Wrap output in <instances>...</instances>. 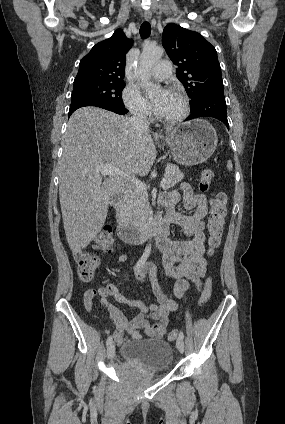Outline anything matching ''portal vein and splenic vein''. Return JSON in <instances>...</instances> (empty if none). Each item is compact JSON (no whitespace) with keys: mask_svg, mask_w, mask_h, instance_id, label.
Instances as JSON below:
<instances>
[{"mask_svg":"<svg viewBox=\"0 0 285 424\" xmlns=\"http://www.w3.org/2000/svg\"><path fill=\"white\" fill-rule=\"evenodd\" d=\"M96 171L100 172L101 175L120 176V177H123V178H127L130 182H132L135 185V187L137 189H141L143 191H146V189H147L145 183H143L142 181H140V180H138L134 177H131V176L125 174L121 169H119L117 167H114V166H111V165H106V166L97 168ZM165 183H166V179L164 177L162 179L161 183H160V187L164 188Z\"/></svg>","mask_w":285,"mask_h":424,"instance_id":"portal-vein-and-splenic-vein-1","label":"portal vein and splenic vein"}]
</instances>
